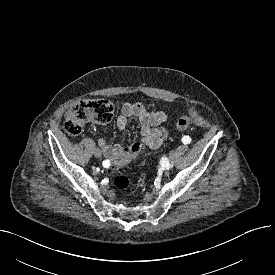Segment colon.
<instances>
[{
    "label": "colon",
    "mask_w": 275,
    "mask_h": 275,
    "mask_svg": "<svg viewBox=\"0 0 275 275\" xmlns=\"http://www.w3.org/2000/svg\"><path fill=\"white\" fill-rule=\"evenodd\" d=\"M113 113L114 107L109 100L98 98L81 100L67 110L65 114L64 130L71 136L79 135L83 127L89 122L99 125L108 124L113 117ZM193 122L194 116L192 111H187L178 119L176 127L179 130H185L189 128ZM142 150L143 147L141 144L135 143L132 145L130 154L127 157L113 162L112 170L119 173L113 180V185L116 190L125 191L130 187V179L120 173L128 165L131 159L136 157Z\"/></svg>",
    "instance_id": "5ec220e1"
}]
</instances>
